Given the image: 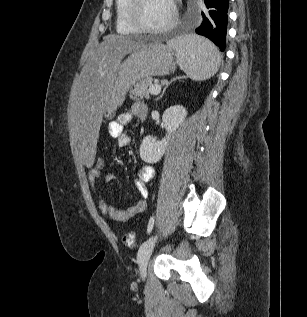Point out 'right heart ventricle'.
Returning a JSON list of instances; mask_svg holds the SVG:
<instances>
[{"label":"right heart ventricle","instance_id":"e07e8e85","mask_svg":"<svg viewBox=\"0 0 307 317\" xmlns=\"http://www.w3.org/2000/svg\"><path fill=\"white\" fill-rule=\"evenodd\" d=\"M130 0H115V28L120 35H133L136 31L129 22L128 6Z\"/></svg>","mask_w":307,"mask_h":317}]
</instances>
